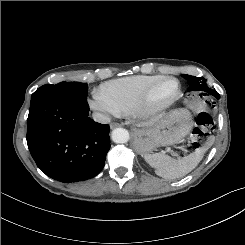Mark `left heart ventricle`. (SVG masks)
<instances>
[{
  "label": "left heart ventricle",
  "instance_id": "left-heart-ventricle-1",
  "mask_svg": "<svg viewBox=\"0 0 245 245\" xmlns=\"http://www.w3.org/2000/svg\"><path fill=\"white\" fill-rule=\"evenodd\" d=\"M175 88H176L175 82L166 83L160 91V97L161 98L167 97L174 91Z\"/></svg>",
  "mask_w": 245,
  "mask_h": 245
}]
</instances>
